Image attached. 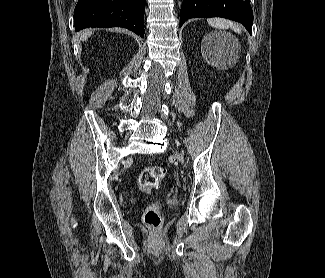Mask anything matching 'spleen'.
Here are the masks:
<instances>
[{
	"mask_svg": "<svg viewBox=\"0 0 325 278\" xmlns=\"http://www.w3.org/2000/svg\"><path fill=\"white\" fill-rule=\"evenodd\" d=\"M208 24L217 29H228L229 27L237 33H241V28L226 19L221 18H210L207 20Z\"/></svg>",
	"mask_w": 325,
	"mask_h": 278,
	"instance_id": "3e777b00",
	"label": "spleen"
}]
</instances>
